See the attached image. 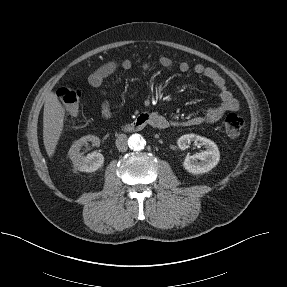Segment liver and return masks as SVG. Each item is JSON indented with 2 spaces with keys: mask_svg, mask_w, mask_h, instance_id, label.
Listing matches in <instances>:
<instances>
[{
  "mask_svg": "<svg viewBox=\"0 0 287 287\" xmlns=\"http://www.w3.org/2000/svg\"><path fill=\"white\" fill-rule=\"evenodd\" d=\"M64 117L65 109L58 100L56 93H47L43 112V142L49 157L55 153L63 130Z\"/></svg>",
  "mask_w": 287,
  "mask_h": 287,
  "instance_id": "1",
  "label": "liver"
}]
</instances>
